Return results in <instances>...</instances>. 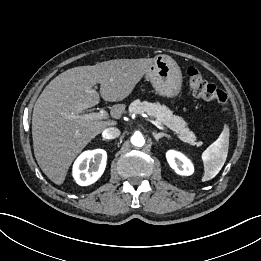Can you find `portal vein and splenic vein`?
Instances as JSON below:
<instances>
[{
  "mask_svg": "<svg viewBox=\"0 0 261 261\" xmlns=\"http://www.w3.org/2000/svg\"><path fill=\"white\" fill-rule=\"evenodd\" d=\"M71 117L74 119H81V120H103L108 118V113L104 109H100L99 112H93V113L83 114L79 116L71 115ZM149 121L157 128L164 130L163 125L158 121L152 119H149Z\"/></svg>",
  "mask_w": 261,
  "mask_h": 261,
  "instance_id": "obj_1",
  "label": "portal vein and splenic vein"
}]
</instances>
